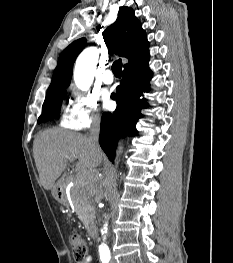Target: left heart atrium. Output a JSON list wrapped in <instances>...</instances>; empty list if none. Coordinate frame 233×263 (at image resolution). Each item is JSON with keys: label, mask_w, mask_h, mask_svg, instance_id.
I'll return each mask as SVG.
<instances>
[{"label": "left heart atrium", "mask_w": 233, "mask_h": 263, "mask_svg": "<svg viewBox=\"0 0 233 263\" xmlns=\"http://www.w3.org/2000/svg\"><path fill=\"white\" fill-rule=\"evenodd\" d=\"M102 100H103V107L105 109H110L111 106L113 105V102H112V100L110 98V95L107 92L103 93Z\"/></svg>", "instance_id": "1"}]
</instances>
